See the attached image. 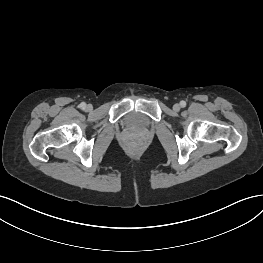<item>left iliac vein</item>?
I'll return each instance as SVG.
<instances>
[{"instance_id": "obj_1", "label": "left iliac vein", "mask_w": 263, "mask_h": 263, "mask_svg": "<svg viewBox=\"0 0 263 263\" xmlns=\"http://www.w3.org/2000/svg\"><path fill=\"white\" fill-rule=\"evenodd\" d=\"M173 110L178 112L180 110V105L179 104H174Z\"/></svg>"}]
</instances>
